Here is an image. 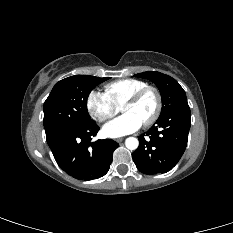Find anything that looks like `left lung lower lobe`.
I'll use <instances>...</instances> for the list:
<instances>
[{
  "instance_id": "0a47b994",
  "label": "left lung lower lobe",
  "mask_w": 233,
  "mask_h": 233,
  "mask_svg": "<svg viewBox=\"0 0 233 233\" xmlns=\"http://www.w3.org/2000/svg\"><path fill=\"white\" fill-rule=\"evenodd\" d=\"M190 125L188 103L161 115L146 134L139 137V147L132 153L138 170L148 175L170 171L186 149Z\"/></svg>"
}]
</instances>
